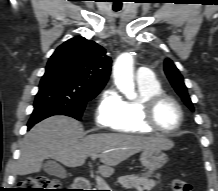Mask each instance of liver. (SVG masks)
<instances>
[{
	"mask_svg": "<svg viewBox=\"0 0 218 191\" xmlns=\"http://www.w3.org/2000/svg\"><path fill=\"white\" fill-rule=\"evenodd\" d=\"M173 145L163 136L108 133L84 137L83 126L77 120L62 115L52 116L35 125L24 137L16 173H37L47 158L68 167H78L87 157L100 154L102 165L99 172L102 176H110L114 166L140 151L169 150Z\"/></svg>",
	"mask_w": 218,
	"mask_h": 191,
	"instance_id": "1",
	"label": "liver"
}]
</instances>
